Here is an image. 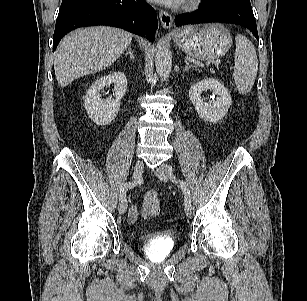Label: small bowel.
<instances>
[{"label": "small bowel", "instance_id": "obj_1", "mask_svg": "<svg viewBox=\"0 0 307 301\" xmlns=\"http://www.w3.org/2000/svg\"><path fill=\"white\" fill-rule=\"evenodd\" d=\"M130 220H135L138 217V210L135 206H132L128 214Z\"/></svg>", "mask_w": 307, "mask_h": 301}]
</instances>
